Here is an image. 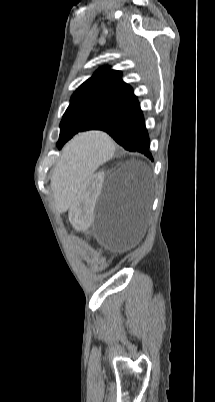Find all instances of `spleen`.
Masks as SVG:
<instances>
[{
  "label": "spleen",
  "instance_id": "spleen-1",
  "mask_svg": "<svg viewBox=\"0 0 215 402\" xmlns=\"http://www.w3.org/2000/svg\"><path fill=\"white\" fill-rule=\"evenodd\" d=\"M113 153L110 134L104 128H88L85 133H74L73 141L67 144L64 159H59L57 169H52V178H58L51 190L61 197L55 209L63 214L74 202V193H81L83 184L93 182L98 166Z\"/></svg>",
  "mask_w": 215,
  "mask_h": 402
}]
</instances>
